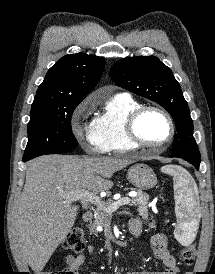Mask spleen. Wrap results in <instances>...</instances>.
Wrapping results in <instances>:
<instances>
[{"label":"spleen","instance_id":"obj_1","mask_svg":"<svg viewBox=\"0 0 215 274\" xmlns=\"http://www.w3.org/2000/svg\"><path fill=\"white\" fill-rule=\"evenodd\" d=\"M163 173L173 176L175 213L178 225L174 230L176 239L182 244H190L197 231V185L187 170L180 166L166 165L161 168Z\"/></svg>","mask_w":215,"mask_h":274}]
</instances>
